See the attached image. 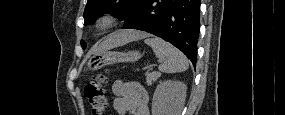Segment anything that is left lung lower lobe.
Listing matches in <instances>:
<instances>
[{
    "label": "left lung lower lobe",
    "mask_w": 285,
    "mask_h": 115,
    "mask_svg": "<svg viewBox=\"0 0 285 115\" xmlns=\"http://www.w3.org/2000/svg\"><path fill=\"white\" fill-rule=\"evenodd\" d=\"M124 20L123 28L146 31L170 42L196 65L199 0H140Z\"/></svg>",
    "instance_id": "1"
}]
</instances>
